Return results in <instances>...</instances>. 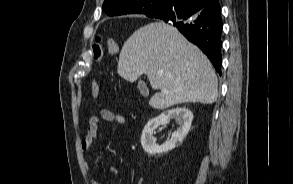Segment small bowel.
<instances>
[{
	"instance_id": "small-bowel-1",
	"label": "small bowel",
	"mask_w": 293,
	"mask_h": 184,
	"mask_svg": "<svg viewBox=\"0 0 293 184\" xmlns=\"http://www.w3.org/2000/svg\"><path fill=\"white\" fill-rule=\"evenodd\" d=\"M101 120L106 122H116L119 124L126 123V119L124 116L117 114L116 112L109 109L101 110L99 116L90 117L88 121V128H87L86 134L81 141V149L84 153H87L90 150V148L94 145L98 135L99 125ZM89 166L90 164L86 163V167L89 168ZM109 172L112 175H117L119 170L116 166H111L109 168ZM91 184H102V182H100L97 179H92Z\"/></svg>"
}]
</instances>
